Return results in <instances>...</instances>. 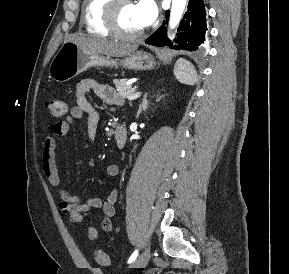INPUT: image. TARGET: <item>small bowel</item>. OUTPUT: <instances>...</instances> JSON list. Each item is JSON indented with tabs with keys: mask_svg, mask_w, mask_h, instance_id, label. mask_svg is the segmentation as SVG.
<instances>
[{
	"mask_svg": "<svg viewBox=\"0 0 289 274\" xmlns=\"http://www.w3.org/2000/svg\"><path fill=\"white\" fill-rule=\"evenodd\" d=\"M91 92H94L98 97L108 103H118L120 101L111 86L101 84L94 79H84L80 81L76 86V104L71 108L70 115L65 120L57 122L53 126L51 134L43 143L42 170L51 186L56 189L60 200L59 207L64 214L68 215L71 224L83 222L86 215L92 210H100L102 212V229L111 231V219L115 214L118 190H111L105 199L94 197L83 200L62 187L60 172L56 161L58 140L65 137L69 132L70 125L75 120L82 119L84 115H87V137L90 141L95 140L99 117L88 98ZM119 171V166L116 164H110L106 168V174L109 177H116ZM87 237L91 241L95 240L98 237V229L95 226H90L87 231Z\"/></svg>",
	"mask_w": 289,
	"mask_h": 274,
	"instance_id": "obj_1",
	"label": "small bowel"
}]
</instances>
